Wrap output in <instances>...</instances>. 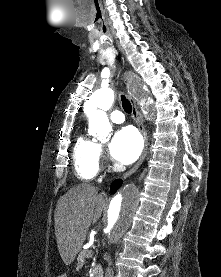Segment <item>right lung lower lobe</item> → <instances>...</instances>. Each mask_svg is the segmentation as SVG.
<instances>
[{
	"label": "right lung lower lobe",
	"mask_w": 221,
	"mask_h": 277,
	"mask_svg": "<svg viewBox=\"0 0 221 277\" xmlns=\"http://www.w3.org/2000/svg\"><path fill=\"white\" fill-rule=\"evenodd\" d=\"M122 184L121 180H115L110 187L111 193H114Z\"/></svg>",
	"instance_id": "1"
}]
</instances>
